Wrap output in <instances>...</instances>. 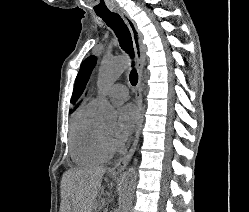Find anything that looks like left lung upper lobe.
Returning <instances> with one entry per match:
<instances>
[{"label":"left lung upper lobe","mask_w":249,"mask_h":212,"mask_svg":"<svg viewBox=\"0 0 249 212\" xmlns=\"http://www.w3.org/2000/svg\"><path fill=\"white\" fill-rule=\"evenodd\" d=\"M96 64V57L90 56L85 59L80 67L79 73L76 77L74 91L72 94L71 103L74 104L75 101L79 98L81 93L84 90V87L89 79V76Z\"/></svg>","instance_id":"obj_1"}]
</instances>
